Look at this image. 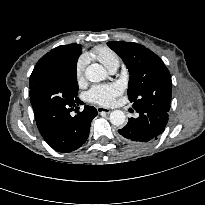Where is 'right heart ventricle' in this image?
<instances>
[{
  "label": "right heart ventricle",
  "mask_w": 205,
  "mask_h": 205,
  "mask_svg": "<svg viewBox=\"0 0 205 205\" xmlns=\"http://www.w3.org/2000/svg\"><path fill=\"white\" fill-rule=\"evenodd\" d=\"M91 56L101 62L108 70L119 66V56L107 46H97L91 51Z\"/></svg>",
  "instance_id": "e07e8e85"
}]
</instances>
